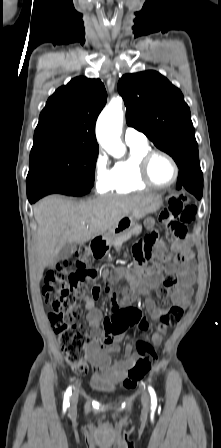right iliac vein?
Wrapping results in <instances>:
<instances>
[{
    "instance_id": "1",
    "label": "right iliac vein",
    "mask_w": 221,
    "mask_h": 448,
    "mask_svg": "<svg viewBox=\"0 0 221 448\" xmlns=\"http://www.w3.org/2000/svg\"><path fill=\"white\" fill-rule=\"evenodd\" d=\"M77 401H78V393L75 392V393L73 394V396H72V399H71V407H70V410H71V411H74V410H75L76 405H77Z\"/></svg>"
}]
</instances>
